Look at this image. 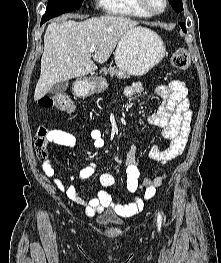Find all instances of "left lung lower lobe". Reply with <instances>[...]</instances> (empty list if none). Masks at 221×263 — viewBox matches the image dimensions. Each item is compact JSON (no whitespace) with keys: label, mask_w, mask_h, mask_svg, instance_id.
<instances>
[{"label":"left lung lower lobe","mask_w":221,"mask_h":263,"mask_svg":"<svg viewBox=\"0 0 221 263\" xmlns=\"http://www.w3.org/2000/svg\"><path fill=\"white\" fill-rule=\"evenodd\" d=\"M179 25L181 26L182 30L186 32L185 23L179 22Z\"/></svg>","instance_id":"obj_1"}]
</instances>
